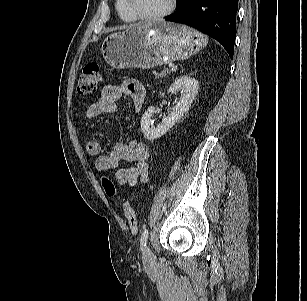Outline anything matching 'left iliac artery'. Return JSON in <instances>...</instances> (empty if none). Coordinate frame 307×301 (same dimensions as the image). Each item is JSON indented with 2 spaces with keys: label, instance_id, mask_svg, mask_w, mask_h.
Returning <instances> with one entry per match:
<instances>
[{
  "label": "left iliac artery",
  "instance_id": "obj_1",
  "mask_svg": "<svg viewBox=\"0 0 307 301\" xmlns=\"http://www.w3.org/2000/svg\"><path fill=\"white\" fill-rule=\"evenodd\" d=\"M148 235H149L148 229H144L140 237V246L142 250L146 247Z\"/></svg>",
  "mask_w": 307,
  "mask_h": 301
}]
</instances>
